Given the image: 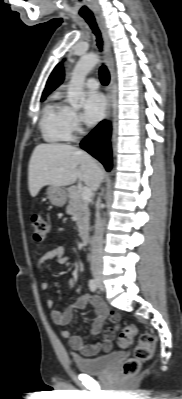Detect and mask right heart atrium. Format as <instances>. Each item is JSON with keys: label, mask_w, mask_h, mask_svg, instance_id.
<instances>
[{"label": "right heart atrium", "mask_w": 182, "mask_h": 399, "mask_svg": "<svg viewBox=\"0 0 182 399\" xmlns=\"http://www.w3.org/2000/svg\"><path fill=\"white\" fill-rule=\"evenodd\" d=\"M68 123L70 130L73 134L81 133L83 130V120L81 115L72 109H69L68 112Z\"/></svg>", "instance_id": "1"}]
</instances>
